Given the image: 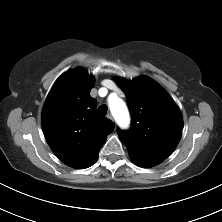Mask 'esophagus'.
Listing matches in <instances>:
<instances>
[{
  "label": "esophagus",
  "mask_w": 222,
  "mask_h": 222,
  "mask_svg": "<svg viewBox=\"0 0 222 222\" xmlns=\"http://www.w3.org/2000/svg\"><path fill=\"white\" fill-rule=\"evenodd\" d=\"M108 119H110V120H113V116H112V114L111 113H109V114H107V116H106Z\"/></svg>",
  "instance_id": "esophagus-1"
}]
</instances>
